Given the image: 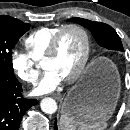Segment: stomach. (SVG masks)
Segmentation results:
<instances>
[{
	"mask_svg": "<svg viewBox=\"0 0 130 130\" xmlns=\"http://www.w3.org/2000/svg\"><path fill=\"white\" fill-rule=\"evenodd\" d=\"M90 76L93 82L84 87ZM121 81L117 67L108 59L96 61L67 93L61 106L64 115L87 124L107 121L120 97Z\"/></svg>",
	"mask_w": 130,
	"mask_h": 130,
	"instance_id": "obj_1",
	"label": "stomach"
}]
</instances>
